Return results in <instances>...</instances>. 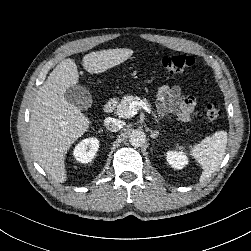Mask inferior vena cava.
<instances>
[{"mask_svg":"<svg viewBox=\"0 0 251 251\" xmlns=\"http://www.w3.org/2000/svg\"><path fill=\"white\" fill-rule=\"evenodd\" d=\"M104 125L107 128V130H109L111 132H117L122 128L123 122L119 121V120H115V119H113V120L112 119H105Z\"/></svg>","mask_w":251,"mask_h":251,"instance_id":"602c4592","label":"inferior vena cava"}]
</instances>
